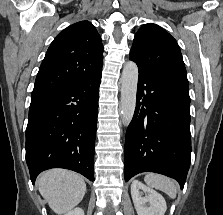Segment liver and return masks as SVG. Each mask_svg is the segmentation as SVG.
Masks as SVG:
<instances>
[{"label":"liver","mask_w":223,"mask_h":215,"mask_svg":"<svg viewBox=\"0 0 223 215\" xmlns=\"http://www.w3.org/2000/svg\"><path fill=\"white\" fill-rule=\"evenodd\" d=\"M42 197L55 213H66L78 205L86 191V183L79 173L69 169H48L37 179Z\"/></svg>","instance_id":"6515ba94"}]
</instances>
